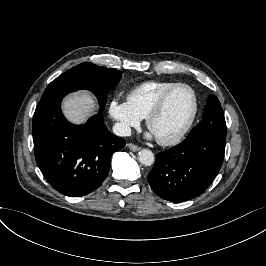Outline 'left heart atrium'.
Returning a JSON list of instances; mask_svg holds the SVG:
<instances>
[{"instance_id":"1","label":"left heart atrium","mask_w":266,"mask_h":266,"mask_svg":"<svg viewBox=\"0 0 266 266\" xmlns=\"http://www.w3.org/2000/svg\"><path fill=\"white\" fill-rule=\"evenodd\" d=\"M147 136L149 138L156 137L155 134L153 133V131L151 129H149V131L147 132Z\"/></svg>"}]
</instances>
